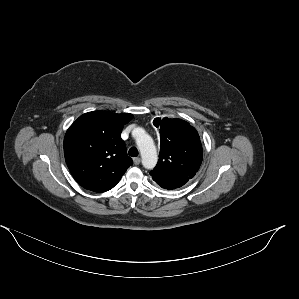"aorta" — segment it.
I'll return each mask as SVG.
<instances>
[{
    "instance_id": "obj_1",
    "label": "aorta",
    "mask_w": 299,
    "mask_h": 299,
    "mask_svg": "<svg viewBox=\"0 0 299 299\" xmlns=\"http://www.w3.org/2000/svg\"><path fill=\"white\" fill-rule=\"evenodd\" d=\"M134 133L136 144L141 153L142 165L146 169H153L157 164L158 155L152 137L142 128L135 129Z\"/></svg>"
}]
</instances>
